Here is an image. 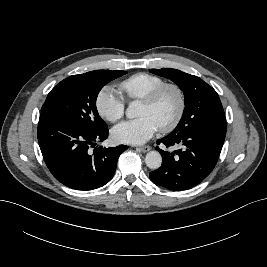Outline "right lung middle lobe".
<instances>
[{"label":"right lung middle lobe","mask_w":267,"mask_h":267,"mask_svg":"<svg viewBox=\"0 0 267 267\" xmlns=\"http://www.w3.org/2000/svg\"><path fill=\"white\" fill-rule=\"evenodd\" d=\"M126 73L122 70H95L70 76L50 91L42 113L55 115L89 131L105 130L107 124L96 108L98 93L108 82Z\"/></svg>","instance_id":"dd1d6c3e"}]
</instances>
